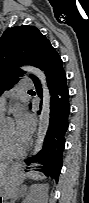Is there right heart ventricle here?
<instances>
[{
  "instance_id": "right-heart-ventricle-1",
  "label": "right heart ventricle",
  "mask_w": 89,
  "mask_h": 203,
  "mask_svg": "<svg viewBox=\"0 0 89 203\" xmlns=\"http://www.w3.org/2000/svg\"><path fill=\"white\" fill-rule=\"evenodd\" d=\"M0 147H1V143H0ZM7 157L5 156V154L3 152L0 151V160H4Z\"/></svg>"
}]
</instances>
